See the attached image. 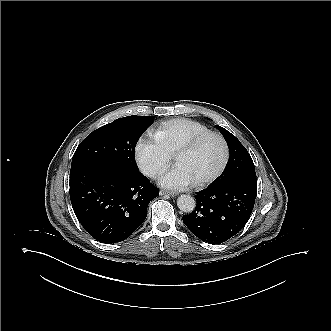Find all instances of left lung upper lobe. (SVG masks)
Listing matches in <instances>:
<instances>
[{
  "label": "left lung upper lobe",
  "instance_id": "1",
  "mask_svg": "<svg viewBox=\"0 0 331 331\" xmlns=\"http://www.w3.org/2000/svg\"><path fill=\"white\" fill-rule=\"evenodd\" d=\"M224 136L230 152V158L224 172L218 177L216 184H224L231 180L242 179L257 183L255 167L250 154L240 141L229 131L217 126Z\"/></svg>",
  "mask_w": 331,
  "mask_h": 331
}]
</instances>
